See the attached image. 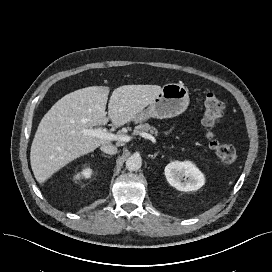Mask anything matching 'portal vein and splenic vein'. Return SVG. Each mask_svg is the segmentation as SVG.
I'll return each mask as SVG.
<instances>
[{"label": "portal vein and splenic vein", "mask_w": 272, "mask_h": 272, "mask_svg": "<svg viewBox=\"0 0 272 272\" xmlns=\"http://www.w3.org/2000/svg\"><path fill=\"white\" fill-rule=\"evenodd\" d=\"M85 135L90 136V137H97L100 138L102 140H119V141H123V142H129L132 137L125 135V134H113V133H109L107 132L105 129L99 127V128H95V129H84L82 131ZM143 138L145 139H149L153 144L156 143V139L154 136H152L149 133H141L140 134Z\"/></svg>", "instance_id": "obj_1"}]
</instances>
